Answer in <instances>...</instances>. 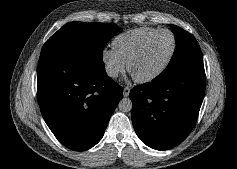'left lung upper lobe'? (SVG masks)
Here are the masks:
<instances>
[{"label": "left lung upper lobe", "mask_w": 237, "mask_h": 169, "mask_svg": "<svg viewBox=\"0 0 237 169\" xmlns=\"http://www.w3.org/2000/svg\"><path fill=\"white\" fill-rule=\"evenodd\" d=\"M170 27L175 35L176 48L167 68L161 74H171L192 65L203 64L202 52L194 36L176 25Z\"/></svg>", "instance_id": "5c2ea615"}]
</instances>
